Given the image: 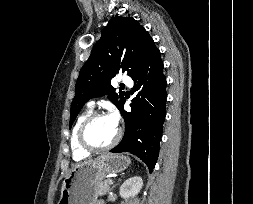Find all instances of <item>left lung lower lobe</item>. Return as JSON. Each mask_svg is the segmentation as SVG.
I'll return each mask as SVG.
<instances>
[{
  "mask_svg": "<svg viewBox=\"0 0 253 204\" xmlns=\"http://www.w3.org/2000/svg\"><path fill=\"white\" fill-rule=\"evenodd\" d=\"M135 91H139L131 104L132 111L119 109L125 120L122 141L110 152H130L138 156L152 172L159 154L163 123L166 116V78L159 49L154 45L141 69L131 77Z\"/></svg>",
  "mask_w": 253,
  "mask_h": 204,
  "instance_id": "1",
  "label": "left lung lower lobe"
}]
</instances>
